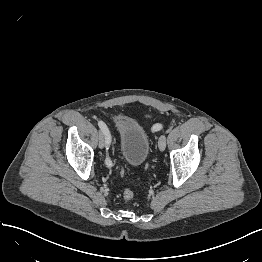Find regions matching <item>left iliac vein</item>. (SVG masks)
<instances>
[{"label": "left iliac vein", "mask_w": 262, "mask_h": 262, "mask_svg": "<svg viewBox=\"0 0 262 262\" xmlns=\"http://www.w3.org/2000/svg\"><path fill=\"white\" fill-rule=\"evenodd\" d=\"M158 147L160 151H164L166 148V136L163 134L160 136L159 141H158Z\"/></svg>", "instance_id": "4c4485c4"}]
</instances>
